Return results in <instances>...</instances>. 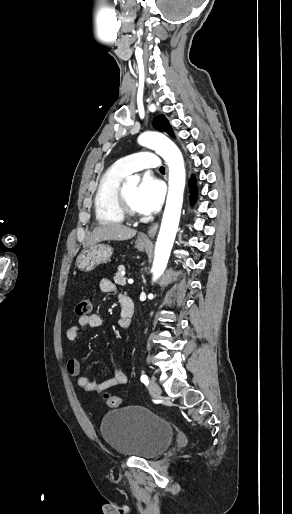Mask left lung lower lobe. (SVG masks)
<instances>
[{
  "label": "left lung lower lobe",
  "instance_id": "0a47b994",
  "mask_svg": "<svg viewBox=\"0 0 292 514\" xmlns=\"http://www.w3.org/2000/svg\"><path fill=\"white\" fill-rule=\"evenodd\" d=\"M188 185L190 187V193H191L190 201L194 202L196 199V195H197V187H196V181H195L194 177H192L191 180H189Z\"/></svg>",
  "mask_w": 292,
  "mask_h": 514
}]
</instances>
